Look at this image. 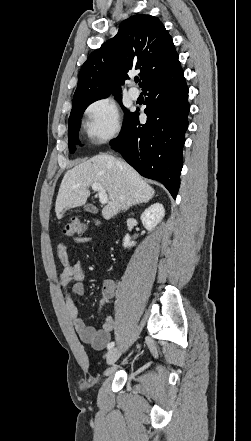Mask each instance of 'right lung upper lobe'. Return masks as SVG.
Listing matches in <instances>:
<instances>
[{
	"label": "right lung upper lobe",
	"mask_w": 251,
	"mask_h": 441,
	"mask_svg": "<svg viewBox=\"0 0 251 441\" xmlns=\"http://www.w3.org/2000/svg\"><path fill=\"white\" fill-rule=\"evenodd\" d=\"M180 65L173 40L159 19L134 15L119 27L118 33L93 51L83 64L74 100L86 97L121 96L119 84L128 72L139 69L144 87L159 75Z\"/></svg>",
	"instance_id": "obj_1"
}]
</instances>
